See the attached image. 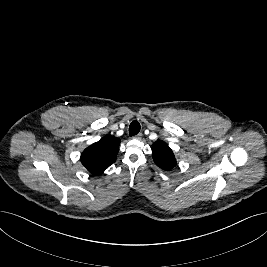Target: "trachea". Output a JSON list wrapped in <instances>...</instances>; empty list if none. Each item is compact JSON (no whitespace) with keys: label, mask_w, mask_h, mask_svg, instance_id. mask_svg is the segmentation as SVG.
Instances as JSON below:
<instances>
[{"label":"trachea","mask_w":267,"mask_h":267,"mask_svg":"<svg viewBox=\"0 0 267 267\" xmlns=\"http://www.w3.org/2000/svg\"><path fill=\"white\" fill-rule=\"evenodd\" d=\"M140 124L138 121H133L131 122L130 126H129V135L130 136H135L139 133L140 131Z\"/></svg>","instance_id":"obj_1"}]
</instances>
